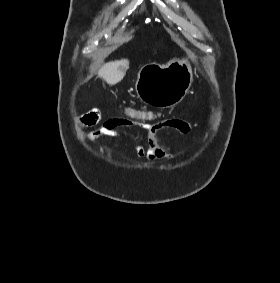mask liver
<instances>
[{
    "instance_id": "1",
    "label": "liver",
    "mask_w": 280,
    "mask_h": 283,
    "mask_svg": "<svg viewBox=\"0 0 280 283\" xmlns=\"http://www.w3.org/2000/svg\"><path fill=\"white\" fill-rule=\"evenodd\" d=\"M128 68L129 61L127 59L111 61L102 66L98 75L105 80L107 84L115 85L124 78Z\"/></svg>"
}]
</instances>
